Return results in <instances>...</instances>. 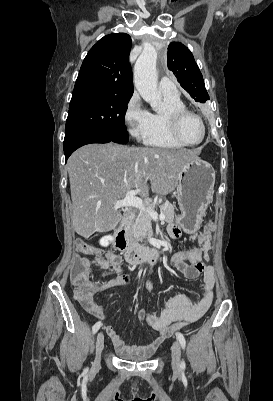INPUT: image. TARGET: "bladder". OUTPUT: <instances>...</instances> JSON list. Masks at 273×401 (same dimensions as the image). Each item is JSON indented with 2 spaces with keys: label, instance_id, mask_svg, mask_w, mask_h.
Masks as SVG:
<instances>
[{
  "label": "bladder",
  "instance_id": "1",
  "mask_svg": "<svg viewBox=\"0 0 273 401\" xmlns=\"http://www.w3.org/2000/svg\"><path fill=\"white\" fill-rule=\"evenodd\" d=\"M150 357V355H146V356H137V357H133V356H125V359H135V360H146Z\"/></svg>",
  "mask_w": 273,
  "mask_h": 401
}]
</instances>
